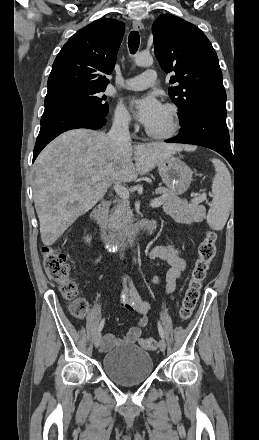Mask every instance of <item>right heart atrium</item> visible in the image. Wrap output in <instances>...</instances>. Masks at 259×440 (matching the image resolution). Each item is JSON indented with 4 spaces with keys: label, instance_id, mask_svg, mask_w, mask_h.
<instances>
[{
    "label": "right heart atrium",
    "instance_id": "right-heart-atrium-1",
    "mask_svg": "<svg viewBox=\"0 0 259 440\" xmlns=\"http://www.w3.org/2000/svg\"><path fill=\"white\" fill-rule=\"evenodd\" d=\"M113 122L117 128L127 129L131 124V116L123 104H118L114 110Z\"/></svg>",
    "mask_w": 259,
    "mask_h": 440
}]
</instances>
